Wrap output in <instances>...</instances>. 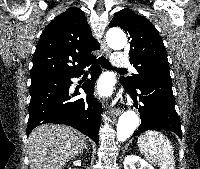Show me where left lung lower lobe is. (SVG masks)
Wrapping results in <instances>:
<instances>
[{
    "label": "left lung lower lobe",
    "mask_w": 200,
    "mask_h": 169,
    "mask_svg": "<svg viewBox=\"0 0 200 169\" xmlns=\"http://www.w3.org/2000/svg\"><path fill=\"white\" fill-rule=\"evenodd\" d=\"M122 86L129 92L134 101L137 102V97H139L142 103V105L136 104L139 107L141 124L134 136L147 130L165 129L182 138L180 119L175 110L172 87L146 83L137 87L141 92L138 95L137 88L131 89L123 84Z\"/></svg>",
    "instance_id": "0a47b994"
}]
</instances>
